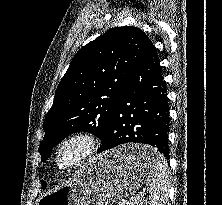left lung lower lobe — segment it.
Returning <instances> with one entry per match:
<instances>
[{
  "mask_svg": "<svg viewBox=\"0 0 222 205\" xmlns=\"http://www.w3.org/2000/svg\"><path fill=\"white\" fill-rule=\"evenodd\" d=\"M169 122L166 84L149 40L119 95L98 153L125 143H145L168 159ZM136 161L150 164L152 156L139 155Z\"/></svg>",
  "mask_w": 222,
  "mask_h": 205,
  "instance_id": "1",
  "label": "left lung lower lobe"
}]
</instances>
